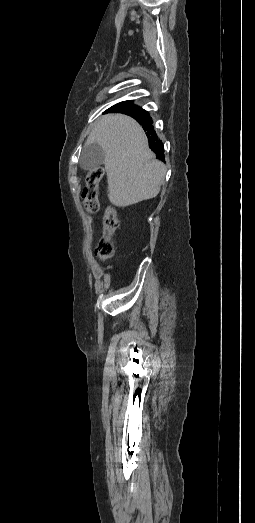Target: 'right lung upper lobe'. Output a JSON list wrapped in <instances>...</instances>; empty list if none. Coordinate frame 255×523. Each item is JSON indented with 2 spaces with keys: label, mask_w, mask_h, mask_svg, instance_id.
<instances>
[{
  "label": "right lung upper lobe",
  "mask_w": 255,
  "mask_h": 523,
  "mask_svg": "<svg viewBox=\"0 0 255 523\" xmlns=\"http://www.w3.org/2000/svg\"><path fill=\"white\" fill-rule=\"evenodd\" d=\"M106 112H121L136 119L142 125L149 140L150 148L155 152L157 159L165 161L163 143L158 139L152 126V119L144 109L131 105L129 102L118 103Z\"/></svg>",
  "instance_id": "obj_1"
}]
</instances>
